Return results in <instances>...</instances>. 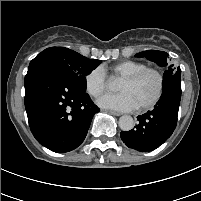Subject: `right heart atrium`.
Returning a JSON list of instances; mask_svg holds the SVG:
<instances>
[{
    "mask_svg": "<svg viewBox=\"0 0 201 201\" xmlns=\"http://www.w3.org/2000/svg\"><path fill=\"white\" fill-rule=\"evenodd\" d=\"M107 75L100 66L90 70L85 76V90L94 98L99 97L106 89Z\"/></svg>",
    "mask_w": 201,
    "mask_h": 201,
    "instance_id": "right-heart-atrium-1",
    "label": "right heart atrium"
}]
</instances>
